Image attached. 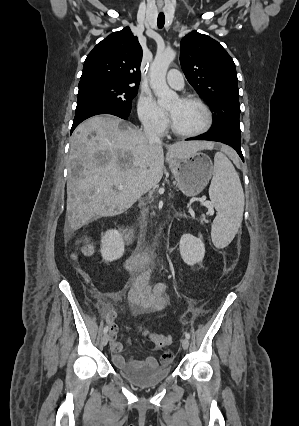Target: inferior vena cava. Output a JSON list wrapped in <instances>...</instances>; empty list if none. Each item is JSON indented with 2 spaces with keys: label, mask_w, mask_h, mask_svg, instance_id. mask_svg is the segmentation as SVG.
<instances>
[{
  "label": "inferior vena cava",
  "mask_w": 299,
  "mask_h": 426,
  "mask_svg": "<svg viewBox=\"0 0 299 426\" xmlns=\"http://www.w3.org/2000/svg\"><path fill=\"white\" fill-rule=\"evenodd\" d=\"M144 134L150 144L161 143V140L157 135L155 128L151 124H146L144 126Z\"/></svg>",
  "instance_id": "1"
}]
</instances>
